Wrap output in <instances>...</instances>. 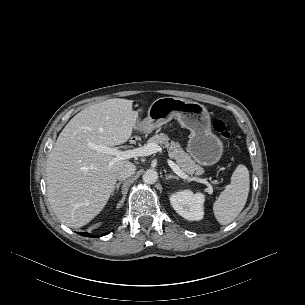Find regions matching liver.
I'll return each instance as SVG.
<instances>
[{"label": "liver", "instance_id": "1", "mask_svg": "<svg viewBox=\"0 0 305 305\" xmlns=\"http://www.w3.org/2000/svg\"><path fill=\"white\" fill-rule=\"evenodd\" d=\"M132 100L113 98L91 105L64 127L46 164L47 196L62 223L80 228L105 207L116 184L118 169L128 163L89 147H108L128 141L133 130L142 129Z\"/></svg>", "mask_w": 305, "mask_h": 305}]
</instances>
